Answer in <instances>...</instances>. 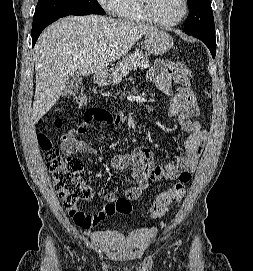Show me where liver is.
I'll use <instances>...</instances> for the list:
<instances>
[{"instance_id": "6515ba94", "label": "liver", "mask_w": 253, "mask_h": 271, "mask_svg": "<svg viewBox=\"0 0 253 271\" xmlns=\"http://www.w3.org/2000/svg\"><path fill=\"white\" fill-rule=\"evenodd\" d=\"M154 30L157 28L101 15L69 16L48 26L34 48L33 122L56 104L75 72L83 76L103 72L142 35ZM101 48L105 50L102 53L98 52Z\"/></svg>"}]
</instances>
